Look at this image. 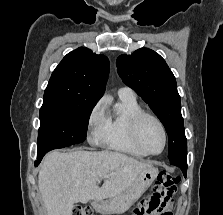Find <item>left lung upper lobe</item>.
Segmentation results:
<instances>
[{"label": "left lung upper lobe", "instance_id": "5c2ea615", "mask_svg": "<svg viewBox=\"0 0 223 215\" xmlns=\"http://www.w3.org/2000/svg\"><path fill=\"white\" fill-rule=\"evenodd\" d=\"M123 82L148 103L169 136L170 163H187V141L176 79L164 59L148 48L120 55L116 62Z\"/></svg>", "mask_w": 223, "mask_h": 215}]
</instances>
